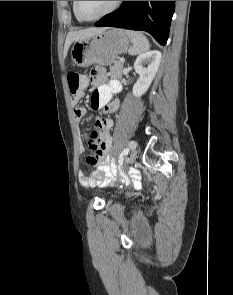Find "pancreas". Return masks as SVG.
<instances>
[{
    "label": "pancreas",
    "instance_id": "pancreas-1",
    "mask_svg": "<svg viewBox=\"0 0 233 295\" xmlns=\"http://www.w3.org/2000/svg\"><path fill=\"white\" fill-rule=\"evenodd\" d=\"M123 64L124 62L120 60L114 61V64L110 66L111 78L120 79L122 77Z\"/></svg>",
    "mask_w": 233,
    "mask_h": 295
}]
</instances>
